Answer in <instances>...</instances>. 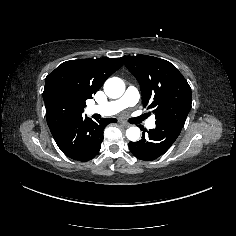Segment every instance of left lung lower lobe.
Returning a JSON list of instances; mask_svg holds the SVG:
<instances>
[{
    "label": "left lung lower lobe",
    "mask_w": 236,
    "mask_h": 236,
    "mask_svg": "<svg viewBox=\"0 0 236 236\" xmlns=\"http://www.w3.org/2000/svg\"><path fill=\"white\" fill-rule=\"evenodd\" d=\"M138 142H129L131 153L138 159L152 161L162 156L179 136L182 126L173 123H156V128L149 130Z\"/></svg>",
    "instance_id": "obj_1"
}]
</instances>
